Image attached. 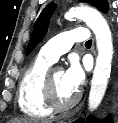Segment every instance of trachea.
I'll return each instance as SVG.
<instances>
[{
  "instance_id": "trachea-1",
  "label": "trachea",
  "mask_w": 118,
  "mask_h": 123,
  "mask_svg": "<svg viewBox=\"0 0 118 123\" xmlns=\"http://www.w3.org/2000/svg\"><path fill=\"white\" fill-rule=\"evenodd\" d=\"M92 44V40H88L85 45H91Z\"/></svg>"
}]
</instances>
